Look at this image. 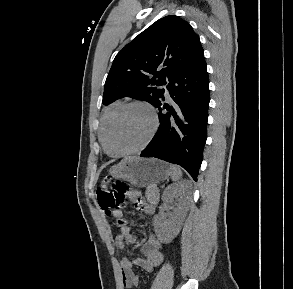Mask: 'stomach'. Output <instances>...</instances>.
Here are the masks:
<instances>
[{
	"mask_svg": "<svg viewBox=\"0 0 293 289\" xmlns=\"http://www.w3.org/2000/svg\"><path fill=\"white\" fill-rule=\"evenodd\" d=\"M112 177L138 187L160 183L170 175V166L155 158L128 157L109 170Z\"/></svg>",
	"mask_w": 293,
	"mask_h": 289,
	"instance_id": "stomach-1",
	"label": "stomach"
}]
</instances>
